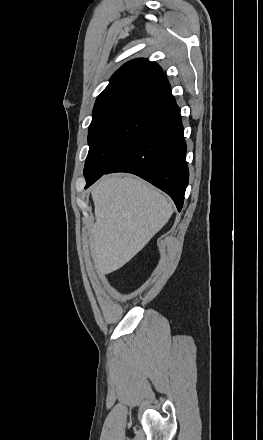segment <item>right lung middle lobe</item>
<instances>
[{"mask_svg":"<svg viewBox=\"0 0 263 440\" xmlns=\"http://www.w3.org/2000/svg\"><path fill=\"white\" fill-rule=\"evenodd\" d=\"M158 106L140 105L104 111L93 117L88 131L86 181L102 176L113 160L141 133Z\"/></svg>","mask_w":263,"mask_h":440,"instance_id":"right-lung-middle-lobe-1","label":"right lung middle lobe"}]
</instances>
